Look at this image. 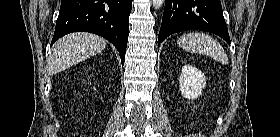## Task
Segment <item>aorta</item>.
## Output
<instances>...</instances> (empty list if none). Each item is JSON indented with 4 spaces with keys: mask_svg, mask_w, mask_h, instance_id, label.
Instances as JSON below:
<instances>
[{
    "mask_svg": "<svg viewBox=\"0 0 280 137\" xmlns=\"http://www.w3.org/2000/svg\"><path fill=\"white\" fill-rule=\"evenodd\" d=\"M164 3V0H153V7L159 9Z\"/></svg>",
    "mask_w": 280,
    "mask_h": 137,
    "instance_id": "1",
    "label": "aorta"
}]
</instances>
